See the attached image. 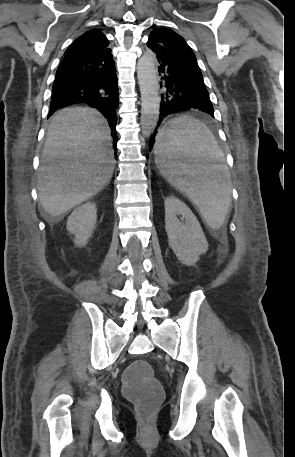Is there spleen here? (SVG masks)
Instances as JSON below:
<instances>
[{"label":"spleen","instance_id":"3e777b00","mask_svg":"<svg viewBox=\"0 0 295 457\" xmlns=\"http://www.w3.org/2000/svg\"><path fill=\"white\" fill-rule=\"evenodd\" d=\"M162 128L155 163L163 177L200 210L213 230L222 227L231 203V176L209 129L197 119L179 116Z\"/></svg>","mask_w":295,"mask_h":457}]
</instances>
